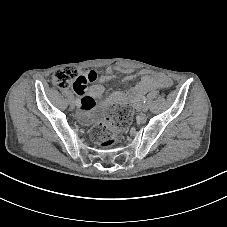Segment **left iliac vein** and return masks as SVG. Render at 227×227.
Instances as JSON below:
<instances>
[{
	"mask_svg": "<svg viewBox=\"0 0 227 227\" xmlns=\"http://www.w3.org/2000/svg\"><path fill=\"white\" fill-rule=\"evenodd\" d=\"M148 111V105L147 104H143L142 106V114L144 115V113H146Z\"/></svg>",
	"mask_w": 227,
	"mask_h": 227,
	"instance_id": "1",
	"label": "left iliac vein"
}]
</instances>
